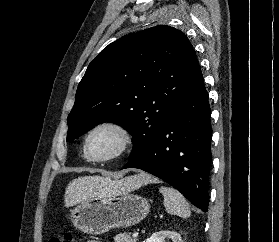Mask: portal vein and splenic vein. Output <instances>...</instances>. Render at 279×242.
<instances>
[{"instance_id":"obj_1","label":"portal vein and splenic vein","mask_w":279,"mask_h":242,"mask_svg":"<svg viewBox=\"0 0 279 242\" xmlns=\"http://www.w3.org/2000/svg\"><path fill=\"white\" fill-rule=\"evenodd\" d=\"M138 232H134L133 234H132V236H133V238H136V237H138Z\"/></svg>"}]
</instances>
